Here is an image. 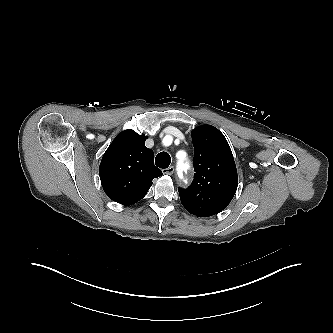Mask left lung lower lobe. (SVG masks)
I'll return each mask as SVG.
<instances>
[{
    "label": "left lung lower lobe",
    "mask_w": 333,
    "mask_h": 333,
    "mask_svg": "<svg viewBox=\"0 0 333 333\" xmlns=\"http://www.w3.org/2000/svg\"><path fill=\"white\" fill-rule=\"evenodd\" d=\"M197 217H205V216H197Z\"/></svg>",
    "instance_id": "0a47b994"
}]
</instances>
